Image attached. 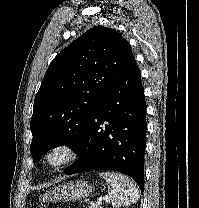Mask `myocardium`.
<instances>
[{
  "mask_svg": "<svg viewBox=\"0 0 199 208\" xmlns=\"http://www.w3.org/2000/svg\"><path fill=\"white\" fill-rule=\"evenodd\" d=\"M56 153H61L62 158L58 161H53L52 156ZM78 148L76 145L67 140H60L52 143L44 153L45 164L55 170L65 168L72 164L78 158Z\"/></svg>",
  "mask_w": 199,
  "mask_h": 208,
  "instance_id": "1",
  "label": "myocardium"
}]
</instances>
